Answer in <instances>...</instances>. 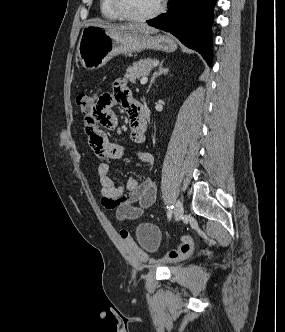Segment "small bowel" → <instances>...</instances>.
I'll use <instances>...</instances> for the list:
<instances>
[{"instance_id":"1","label":"small bowel","mask_w":285,"mask_h":332,"mask_svg":"<svg viewBox=\"0 0 285 332\" xmlns=\"http://www.w3.org/2000/svg\"><path fill=\"white\" fill-rule=\"evenodd\" d=\"M117 105H121L128 114L131 140L136 144L144 142L147 121L142 116L141 104L133 99L123 79L114 82L112 93L95 96L94 106L84 112L85 133L94 155L102 160L98 166V176L103 206L115 210L116 218L120 221L134 220L154 204L157 188L151 177L141 182L135 177H129L124 189L111 176L108 160L120 159L127 152L125 147L109 142L102 131L117 126L118 117L112 111ZM135 156L140 164L148 167L153 165L154 157L151 153L135 151Z\"/></svg>"}]
</instances>
